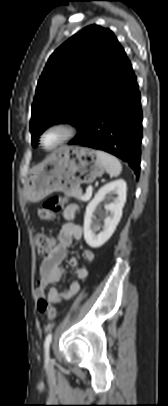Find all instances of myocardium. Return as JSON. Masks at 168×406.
I'll return each mask as SVG.
<instances>
[{"label": "myocardium", "mask_w": 168, "mask_h": 406, "mask_svg": "<svg viewBox=\"0 0 168 406\" xmlns=\"http://www.w3.org/2000/svg\"><path fill=\"white\" fill-rule=\"evenodd\" d=\"M51 131L60 132L61 137L55 145H53L51 147H46L44 145L43 140H44L45 135ZM74 134H75V127L72 124H70L68 122H54V123L49 124L48 126H46L43 129V131L41 132V134L39 136V143L44 150L53 151V150L61 147L65 143H67L74 136Z\"/></svg>", "instance_id": "myocardium-1"}]
</instances>
